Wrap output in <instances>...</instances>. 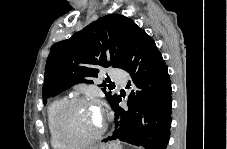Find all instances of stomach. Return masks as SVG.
Returning a JSON list of instances; mask_svg holds the SVG:
<instances>
[{"instance_id":"obj_1","label":"stomach","mask_w":227,"mask_h":149,"mask_svg":"<svg viewBox=\"0 0 227 149\" xmlns=\"http://www.w3.org/2000/svg\"><path fill=\"white\" fill-rule=\"evenodd\" d=\"M98 149H108V148H106V147H101V148H98Z\"/></svg>"}]
</instances>
